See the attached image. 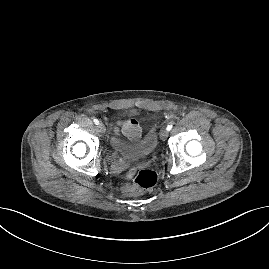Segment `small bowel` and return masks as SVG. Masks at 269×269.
<instances>
[{
  "label": "small bowel",
  "mask_w": 269,
  "mask_h": 269,
  "mask_svg": "<svg viewBox=\"0 0 269 269\" xmlns=\"http://www.w3.org/2000/svg\"><path fill=\"white\" fill-rule=\"evenodd\" d=\"M115 133L117 135L122 134L130 140H137L141 134V128L138 121L131 118L124 122H118L115 128Z\"/></svg>",
  "instance_id": "c3829d8e"
}]
</instances>
